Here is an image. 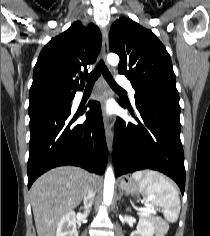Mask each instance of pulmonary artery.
<instances>
[{
    "instance_id": "pulmonary-artery-1",
    "label": "pulmonary artery",
    "mask_w": 210,
    "mask_h": 236,
    "mask_svg": "<svg viewBox=\"0 0 210 236\" xmlns=\"http://www.w3.org/2000/svg\"><path fill=\"white\" fill-rule=\"evenodd\" d=\"M117 82L121 87H124L129 91L130 96H131V100H132L133 104H135V98H134L135 91H134L130 81L123 76H119L117 78ZM80 95H81V93H80Z\"/></svg>"
}]
</instances>
